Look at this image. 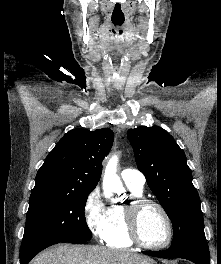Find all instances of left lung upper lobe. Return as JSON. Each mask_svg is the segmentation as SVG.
Masks as SVG:
<instances>
[{"label": "left lung upper lobe", "instance_id": "5c2ea615", "mask_svg": "<svg viewBox=\"0 0 221 264\" xmlns=\"http://www.w3.org/2000/svg\"><path fill=\"white\" fill-rule=\"evenodd\" d=\"M127 137L138 169L172 221L171 246L206 240L200 198L183 150L159 126L130 129Z\"/></svg>", "mask_w": 221, "mask_h": 264}]
</instances>
